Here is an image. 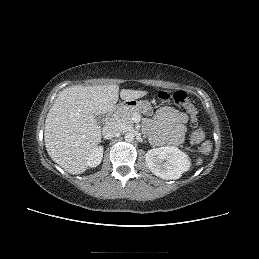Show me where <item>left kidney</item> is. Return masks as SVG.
Listing matches in <instances>:
<instances>
[{
	"label": "left kidney",
	"instance_id": "obj_1",
	"mask_svg": "<svg viewBox=\"0 0 259 259\" xmlns=\"http://www.w3.org/2000/svg\"><path fill=\"white\" fill-rule=\"evenodd\" d=\"M149 170L164 180L178 179L190 167L187 154L174 146L153 148L145 154Z\"/></svg>",
	"mask_w": 259,
	"mask_h": 259
}]
</instances>
